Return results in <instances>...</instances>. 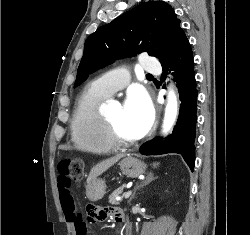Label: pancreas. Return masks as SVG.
Listing matches in <instances>:
<instances>
[{
	"mask_svg": "<svg viewBox=\"0 0 250 235\" xmlns=\"http://www.w3.org/2000/svg\"><path fill=\"white\" fill-rule=\"evenodd\" d=\"M123 188L124 187L122 186L110 194L109 196L110 204L117 205L119 203V201L116 200V197L119 196V194H121V192L123 191Z\"/></svg>",
	"mask_w": 250,
	"mask_h": 235,
	"instance_id": "1",
	"label": "pancreas"
}]
</instances>
